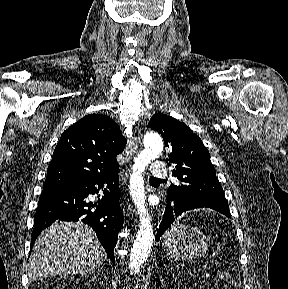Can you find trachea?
Listing matches in <instances>:
<instances>
[{"label":"trachea","mask_w":288,"mask_h":289,"mask_svg":"<svg viewBox=\"0 0 288 289\" xmlns=\"http://www.w3.org/2000/svg\"><path fill=\"white\" fill-rule=\"evenodd\" d=\"M149 179H150V180H159V179H156V178H154V177H150Z\"/></svg>","instance_id":"3493384b"}]
</instances>
